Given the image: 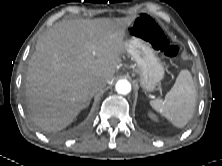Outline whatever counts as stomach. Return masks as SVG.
Returning <instances> with one entry per match:
<instances>
[{
    "instance_id": "1",
    "label": "stomach",
    "mask_w": 222,
    "mask_h": 166,
    "mask_svg": "<svg viewBox=\"0 0 222 166\" xmlns=\"http://www.w3.org/2000/svg\"><path fill=\"white\" fill-rule=\"evenodd\" d=\"M126 52L136 63L140 85L145 92H152L164 77V67L154 50L142 38L133 35L126 40Z\"/></svg>"
}]
</instances>
